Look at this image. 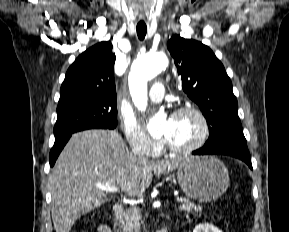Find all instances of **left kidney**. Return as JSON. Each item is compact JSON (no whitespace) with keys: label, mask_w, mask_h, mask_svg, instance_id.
<instances>
[{"label":"left kidney","mask_w":289,"mask_h":232,"mask_svg":"<svg viewBox=\"0 0 289 232\" xmlns=\"http://www.w3.org/2000/svg\"><path fill=\"white\" fill-rule=\"evenodd\" d=\"M193 232H222L217 227L209 223H202L197 225Z\"/></svg>","instance_id":"obj_1"}]
</instances>
